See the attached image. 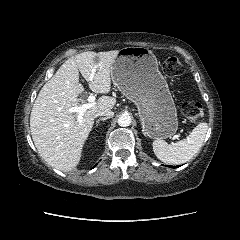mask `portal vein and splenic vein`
I'll use <instances>...</instances> for the list:
<instances>
[{"instance_id":"portal-vein-and-splenic-vein-1","label":"portal vein and splenic vein","mask_w":240,"mask_h":240,"mask_svg":"<svg viewBox=\"0 0 240 240\" xmlns=\"http://www.w3.org/2000/svg\"><path fill=\"white\" fill-rule=\"evenodd\" d=\"M94 72L95 70H93V73L91 74L90 76V80L93 79V76H94ZM95 96L93 94H90L89 97H88V104H83V105H80V106H74V107H71L68 109V112L70 113H78V121H81L83 119V114L84 112L91 108L94 104H95ZM179 138V135H175L172 139L175 140V139H178Z\"/></svg>"}]
</instances>
